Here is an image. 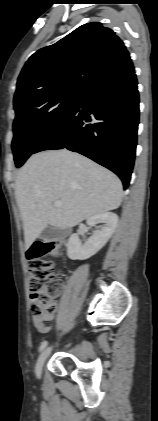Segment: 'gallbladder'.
Returning a JSON list of instances; mask_svg holds the SVG:
<instances>
[{
	"instance_id": "1",
	"label": "gallbladder",
	"mask_w": 158,
	"mask_h": 421,
	"mask_svg": "<svg viewBox=\"0 0 158 421\" xmlns=\"http://www.w3.org/2000/svg\"><path fill=\"white\" fill-rule=\"evenodd\" d=\"M67 230L61 228H55L47 226L40 235V240L47 241H59L65 238Z\"/></svg>"
}]
</instances>
